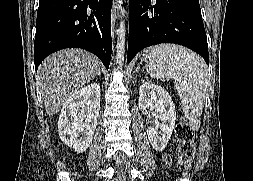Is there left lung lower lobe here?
Here are the masks:
<instances>
[{
	"instance_id": "obj_1",
	"label": "left lung lower lobe",
	"mask_w": 253,
	"mask_h": 181,
	"mask_svg": "<svg viewBox=\"0 0 253 181\" xmlns=\"http://www.w3.org/2000/svg\"><path fill=\"white\" fill-rule=\"evenodd\" d=\"M159 43L188 47L209 64L199 0H129L127 61L143 48Z\"/></svg>"
}]
</instances>
